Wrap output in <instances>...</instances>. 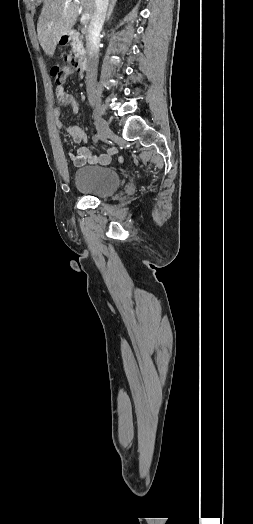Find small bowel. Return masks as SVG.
<instances>
[{"label": "small bowel", "mask_w": 253, "mask_h": 524, "mask_svg": "<svg viewBox=\"0 0 253 524\" xmlns=\"http://www.w3.org/2000/svg\"><path fill=\"white\" fill-rule=\"evenodd\" d=\"M55 95L59 106L53 110V117L62 140L68 142L72 138L75 143L85 144L88 139L86 131L78 126H66L63 122L64 113L61 107L70 106L74 114L79 112V106L75 97L67 93L63 88H56ZM115 151L116 149L111 147L105 154L95 156L91 154L87 147L82 146L76 153L69 152L68 156L72 164L77 167L84 166L86 164L107 165L110 163L111 156L115 153Z\"/></svg>", "instance_id": "obj_1"}]
</instances>
